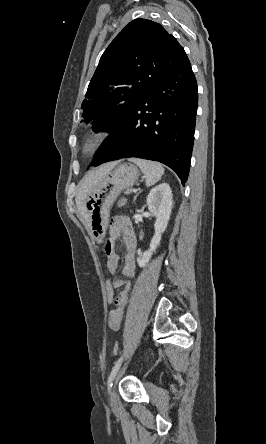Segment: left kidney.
Returning <instances> with one entry per match:
<instances>
[{"label": "left kidney", "instance_id": "5707ae66", "mask_svg": "<svg viewBox=\"0 0 266 444\" xmlns=\"http://www.w3.org/2000/svg\"><path fill=\"white\" fill-rule=\"evenodd\" d=\"M172 191L167 183H162L151 189L147 196L149 211L156 217L155 233L150 242V248L137 258L138 265L144 267L150 260L153 252L160 244L162 233L167 228L172 210Z\"/></svg>", "mask_w": 266, "mask_h": 444}]
</instances>
